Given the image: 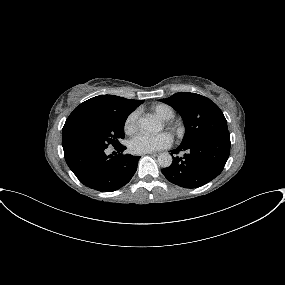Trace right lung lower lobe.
<instances>
[{
	"mask_svg": "<svg viewBox=\"0 0 285 285\" xmlns=\"http://www.w3.org/2000/svg\"><path fill=\"white\" fill-rule=\"evenodd\" d=\"M118 153L126 147H114ZM67 165L85 186L102 192H112L126 185L137 170L139 156L106 155L105 147L70 146L64 150Z\"/></svg>",
	"mask_w": 285,
	"mask_h": 285,
	"instance_id": "right-lung-lower-lobe-1",
	"label": "right lung lower lobe"
}]
</instances>
